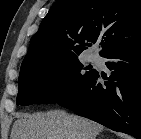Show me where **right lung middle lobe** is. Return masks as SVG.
Instances as JSON below:
<instances>
[{
	"mask_svg": "<svg viewBox=\"0 0 141 139\" xmlns=\"http://www.w3.org/2000/svg\"><path fill=\"white\" fill-rule=\"evenodd\" d=\"M83 72L78 58L31 66L20 70L17 105L54 104L67 99L77 91L94 73Z\"/></svg>",
	"mask_w": 141,
	"mask_h": 139,
	"instance_id": "1",
	"label": "right lung middle lobe"
}]
</instances>
